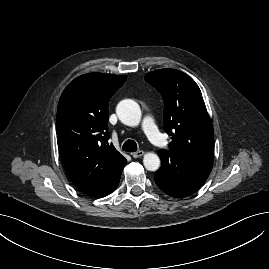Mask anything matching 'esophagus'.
Returning a JSON list of instances; mask_svg holds the SVG:
<instances>
[{
  "mask_svg": "<svg viewBox=\"0 0 269 269\" xmlns=\"http://www.w3.org/2000/svg\"><path fill=\"white\" fill-rule=\"evenodd\" d=\"M131 155H132L134 158H139V157H141V156L144 155V151L139 150V151H136V152L131 153Z\"/></svg>",
  "mask_w": 269,
  "mask_h": 269,
  "instance_id": "obj_1",
  "label": "esophagus"
}]
</instances>
